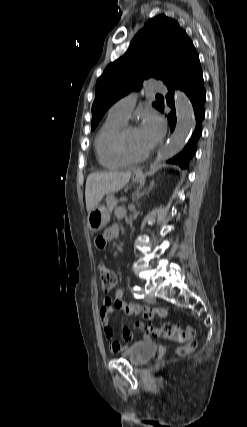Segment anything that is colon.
<instances>
[{
    "label": "colon",
    "instance_id": "5ec220e1",
    "mask_svg": "<svg viewBox=\"0 0 247 427\" xmlns=\"http://www.w3.org/2000/svg\"><path fill=\"white\" fill-rule=\"evenodd\" d=\"M99 274L101 289L104 292L111 291L116 285V275L114 272L104 264H101L99 266ZM138 326L145 329L148 336L185 343L184 346L178 349L179 354H187L196 348V342L194 340L195 330L191 326L180 328L171 323H165L159 327H145L142 323H139Z\"/></svg>",
    "mask_w": 247,
    "mask_h": 427
}]
</instances>
